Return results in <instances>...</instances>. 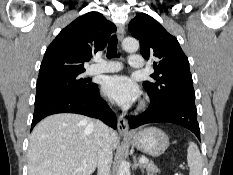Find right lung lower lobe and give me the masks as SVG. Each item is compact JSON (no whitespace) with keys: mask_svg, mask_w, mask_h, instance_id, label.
<instances>
[{"mask_svg":"<svg viewBox=\"0 0 233 175\" xmlns=\"http://www.w3.org/2000/svg\"><path fill=\"white\" fill-rule=\"evenodd\" d=\"M57 113H77L101 119L116 129V115L100 97L97 84L80 93H48L35 99L31 129L44 117Z\"/></svg>","mask_w":233,"mask_h":175,"instance_id":"obj_1","label":"right lung lower lobe"}]
</instances>
